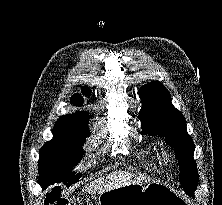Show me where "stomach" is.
Here are the masks:
<instances>
[{
    "label": "stomach",
    "instance_id": "0dacf381",
    "mask_svg": "<svg viewBox=\"0 0 222 205\" xmlns=\"http://www.w3.org/2000/svg\"><path fill=\"white\" fill-rule=\"evenodd\" d=\"M98 205H191L175 190L161 182L129 184L103 192Z\"/></svg>",
    "mask_w": 222,
    "mask_h": 205
}]
</instances>
